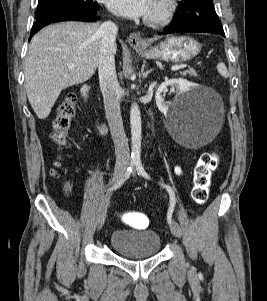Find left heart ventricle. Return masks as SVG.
Instances as JSON below:
<instances>
[{"mask_svg":"<svg viewBox=\"0 0 267 301\" xmlns=\"http://www.w3.org/2000/svg\"><path fill=\"white\" fill-rule=\"evenodd\" d=\"M155 9H156V5L154 3H152L150 14H152L155 11Z\"/></svg>","mask_w":267,"mask_h":301,"instance_id":"1","label":"left heart ventricle"}]
</instances>
